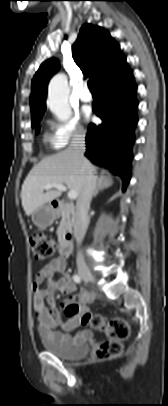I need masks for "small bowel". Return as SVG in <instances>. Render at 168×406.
<instances>
[{
  "instance_id": "1",
  "label": "small bowel",
  "mask_w": 168,
  "mask_h": 406,
  "mask_svg": "<svg viewBox=\"0 0 168 406\" xmlns=\"http://www.w3.org/2000/svg\"><path fill=\"white\" fill-rule=\"evenodd\" d=\"M57 275L59 276L56 277ZM32 288L33 308L42 337L58 344L72 345L86 336V333H78L73 337L69 332L80 325L81 314L88 312L86 306L93 301L91 294L81 290L62 301L59 307L55 302L56 290H60L64 295H71L76 290L75 284L66 272L64 257L59 256L51 260L39 270ZM68 307L75 308L76 314L63 321L61 309L66 310Z\"/></svg>"
}]
</instances>
